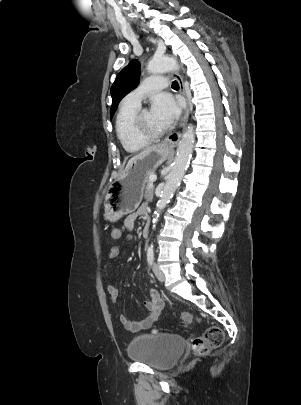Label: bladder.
I'll list each match as a JSON object with an SVG mask.
<instances>
[{"label":"bladder","instance_id":"31cf9c89","mask_svg":"<svg viewBox=\"0 0 301 405\" xmlns=\"http://www.w3.org/2000/svg\"><path fill=\"white\" fill-rule=\"evenodd\" d=\"M184 346V340L177 335L140 334L131 340L127 353L135 362L165 370L178 361Z\"/></svg>","mask_w":301,"mask_h":405}]
</instances>
